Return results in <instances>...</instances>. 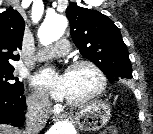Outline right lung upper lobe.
I'll list each match as a JSON object with an SVG mask.
<instances>
[{
	"label": "right lung upper lobe",
	"mask_w": 153,
	"mask_h": 134,
	"mask_svg": "<svg viewBox=\"0 0 153 134\" xmlns=\"http://www.w3.org/2000/svg\"><path fill=\"white\" fill-rule=\"evenodd\" d=\"M25 22L13 8L0 13V67L12 66L20 56L16 51L22 48Z\"/></svg>",
	"instance_id": "right-lung-upper-lobe-1"
}]
</instances>
